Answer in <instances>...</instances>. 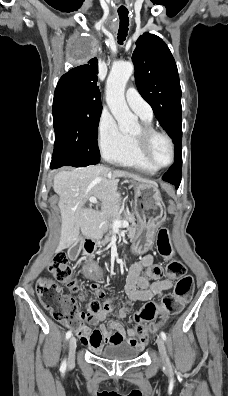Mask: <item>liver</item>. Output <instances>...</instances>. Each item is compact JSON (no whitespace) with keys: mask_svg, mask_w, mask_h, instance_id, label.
Returning a JSON list of instances; mask_svg holds the SVG:
<instances>
[{"mask_svg":"<svg viewBox=\"0 0 228 396\" xmlns=\"http://www.w3.org/2000/svg\"><path fill=\"white\" fill-rule=\"evenodd\" d=\"M128 177L142 183H152L137 175L121 170H110L101 165L72 168L54 177L53 189L59 195L61 234L57 251L78 242L80 234L90 239L102 235L101 216L85 202L91 197L101 200L105 213L117 214L120 198L117 192L118 178Z\"/></svg>","mask_w":228,"mask_h":396,"instance_id":"liver-1","label":"liver"}]
</instances>
